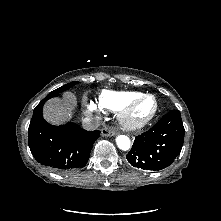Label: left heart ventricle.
Segmentation results:
<instances>
[{
	"instance_id": "b2bd125f",
	"label": "left heart ventricle",
	"mask_w": 221,
	"mask_h": 221,
	"mask_svg": "<svg viewBox=\"0 0 221 221\" xmlns=\"http://www.w3.org/2000/svg\"><path fill=\"white\" fill-rule=\"evenodd\" d=\"M155 102L152 98H146L138 102L131 110L129 119L139 122L146 119L153 111Z\"/></svg>"
}]
</instances>
